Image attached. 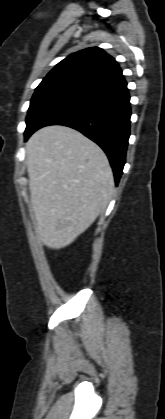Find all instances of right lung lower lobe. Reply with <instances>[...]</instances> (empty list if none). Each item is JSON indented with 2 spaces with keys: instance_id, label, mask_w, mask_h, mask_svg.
Here are the masks:
<instances>
[{
  "instance_id": "98d812e1",
  "label": "right lung lower lobe",
  "mask_w": 165,
  "mask_h": 419,
  "mask_svg": "<svg viewBox=\"0 0 165 419\" xmlns=\"http://www.w3.org/2000/svg\"><path fill=\"white\" fill-rule=\"evenodd\" d=\"M130 97L124 79L85 94L46 115L30 132L65 125L96 142L107 154L118 184L130 136Z\"/></svg>"
}]
</instances>
